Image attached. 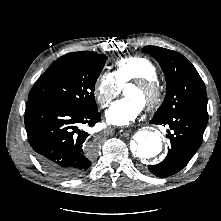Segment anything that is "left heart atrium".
Segmentation results:
<instances>
[{
    "label": "left heart atrium",
    "mask_w": 221,
    "mask_h": 221,
    "mask_svg": "<svg viewBox=\"0 0 221 221\" xmlns=\"http://www.w3.org/2000/svg\"><path fill=\"white\" fill-rule=\"evenodd\" d=\"M143 104L132 97L114 101L106 111V120L115 126H125L134 121L141 113Z\"/></svg>",
    "instance_id": "1"
}]
</instances>
